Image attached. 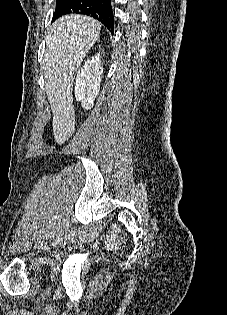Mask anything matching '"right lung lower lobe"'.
Here are the masks:
<instances>
[{"instance_id": "right-lung-lower-lobe-1", "label": "right lung lower lobe", "mask_w": 227, "mask_h": 315, "mask_svg": "<svg viewBox=\"0 0 227 315\" xmlns=\"http://www.w3.org/2000/svg\"><path fill=\"white\" fill-rule=\"evenodd\" d=\"M91 16L103 23L114 34L111 0H56L52 21L67 14Z\"/></svg>"}]
</instances>
